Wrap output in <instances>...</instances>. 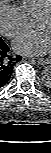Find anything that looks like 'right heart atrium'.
Here are the masks:
<instances>
[{"label":"right heart atrium","mask_w":51,"mask_h":153,"mask_svg":"<svg viewBox=\"0 0 51 153\" xmlns=\"http://www.w3.org/2000/svg\"><path fill=\"white\" fill-rule=\"evenodd\" d=\"M27 19L21 8L9 0H0V32L8 38L19 36L25 29Z\"/></svg>","instance_id":"obj_1"}]
</instances>
